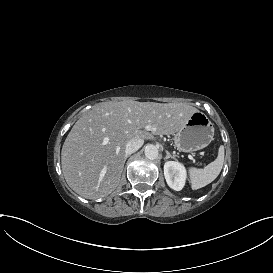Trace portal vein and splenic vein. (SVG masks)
I'll use <instances>...</instances> for the list:
<instances>
[{
  "label": "portal vein and splenic vein",
  "mask_w": 273,
  "mask_h": 273,
  "mask_svg": "<svg viewBox=\"0 0 273 273\" xmlns=\"http://www.w3.org/2000/svg\"><path fill=\"white\" fill-rule=\"evenodd\" d=\"M144 130H153V126L152 125H146V126H144ZM190 159H192V156L191 155H189L188 156ZM193 161H196V158H193Z\"/></svg>",
  "instance_id": "18ae733b"
}]
</instances>
